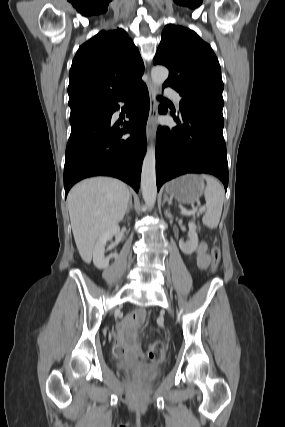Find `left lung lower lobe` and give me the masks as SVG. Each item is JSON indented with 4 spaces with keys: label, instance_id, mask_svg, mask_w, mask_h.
<instances>
[{
    "label": "left lung lower lobe",
    "instance_id": "0a47b994",
    "mask_svg": "<svg viewBox=\"0 0 285 427\" xmlns=\"http://www.w3.org/2000/svg\"><path fill=\"white\" fill-rule=\"evenodd\" d=\"M159 112L167 113L165 107ZM178 126L159 127L156 145L157 189L179 175L208 173L228 186V163L223 138V115L212 110L183 112Z\"/></svg>",
    "mask_w": 285,
    "mask_h": 427
}]
</instances>
